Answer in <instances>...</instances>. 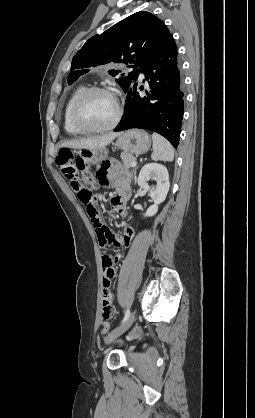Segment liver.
I'll use <instances>...</instances> for the list:
<instances>
[{"mask_svg":"<svg viewBox=\"0 0 255 418\" xmlns=\"http://www.w3.org/2000/svg\"><path fill=\"white\" fill-rule=\"evenodd\" d=\"M120 133H108L98 137H90L78 140H69L63 142L60 147L73 148V149H104L109 145Z\"/></svg>","mask_w":255,"mask_h":418,"instance_id":"1","label":"liver"}]
</instances>
